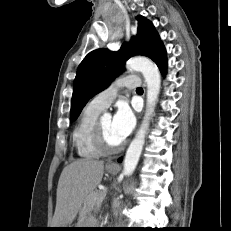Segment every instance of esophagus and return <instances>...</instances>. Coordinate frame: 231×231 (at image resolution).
Instances as JSON below:
<instances>
[{
    "instance_id": "34e87169",
    "label": "esophagus",
    "mask_w": 231,
    "mask_h": 231,
    "mask_svg": "<svg viewBox=\"0 0 231 231\" xmlns=\"http://www.w3.org/2000/svg\"><path fill=\"white\" fill-rule=\"evenodd\" d=\"M107 165H108V166H112V167H116V166H117V164H116L115 162H113V161H109V162L107 163Z\"/></svg>"
}]
</instances>
